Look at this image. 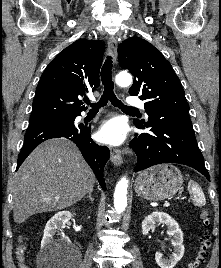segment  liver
Returning <instances> with one entry per match:
<instances>
[{
  "mask_svg": "<svg viewBox=\"0 0 221 268\" xmlns=\"http://www.w3.org/2000/svg\"><path fill=\"white\" fill-rule=\"evenodd\" d=\"M96 178L78 148L56 138L40 144L23 162L13 185L14 221L62 210L92 191Z\"/></svg>",
  "mask_w": 221,
  "mask_h": 268,
  "instance_id": "1",
  "label": "liver"
}]
</instances>
